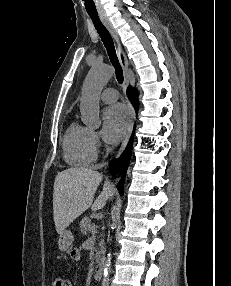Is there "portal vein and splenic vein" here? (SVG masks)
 Here are the masks:
<instances>
[{
    "label": "portal vein and splenic vein",
    "instance_id": "obj_1",
    "mask_svg": "<svg viewBox=\"0 0 231 286\" xmlns=\"http://www.w3.org/2000/svg\"><path fill=\"white\" fill-rule=\"evenodd\" d=\"M91 232L94 234L96 232V227H95V224H93L91 226Z\"/></svg>",
    "mask_w": 231,
    "mask_h": 286
}]
</instances>
